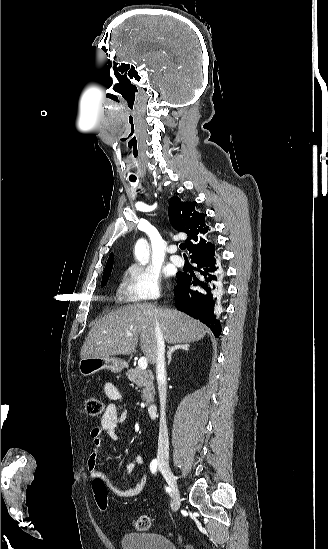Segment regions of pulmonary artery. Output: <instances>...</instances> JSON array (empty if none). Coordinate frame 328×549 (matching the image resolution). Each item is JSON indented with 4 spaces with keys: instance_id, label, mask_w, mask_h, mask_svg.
Returning <instances> with one entry per match:
<instances>
[{
    "instance_id": "e3ab8cb5",
    "label": "pulmonary artery",
    "mask_w": 328,
    "mask_h": 549,
    "mask_svg": "<svg viewBox=\"0 0 328 549\" xmlns=\"http://www.w3.org/2000/svg\"><path fill=\"white\" fill-rule=\"evenodd\" d=\"M170 259L177 266L183 265V260L178 255H172Z\"/></svg>"
}]
</instances>
